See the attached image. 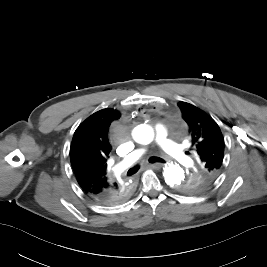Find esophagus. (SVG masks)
Returning <instances> with one entry per match:
<instances>
[{
    "instance_id": "obj_1",
    "label": "esophagus",
    "mask_w": 267,
    "mask_h": 267,
    "mask_svg": "<svg viewBox=\"0 0 267 267\" xmlns=\"http://www.w3.org/2000/svg\"><path fill=\"white\" fill-rule=\"evenodd\" d=\"M152 169H160L163 165L161 163H154L148 165Z\"/></svg>"
}]
</instances>
